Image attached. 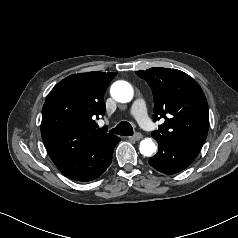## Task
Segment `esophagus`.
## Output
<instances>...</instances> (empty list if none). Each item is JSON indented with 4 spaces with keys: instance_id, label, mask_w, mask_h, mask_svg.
Listing matches in <instances>:
<instances>
[{
    "instance_id": "esophagus-1",
    "label": "esophagus",
    "mask_w": 238,
    "mask_h": 238,
    "mask_svg": "<svg viewBox=\"0 0 238 238\" xmlns=\"http://www.w3.org/2000/svg\"><path fill=\"white\" fill-rule=\"evenodd\" d=\"M142 134L141 133H136L134 134L133 136L129 137L130 139L132 140H135V141H139L140 139H142Z\"/></svg>"
}]
</instances>
